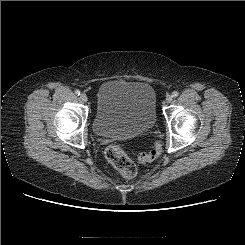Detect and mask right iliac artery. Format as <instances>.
Returning <instances> with one entry per match:
<instances>
[{"mask_svg":"<svg viewBox=\"0 0 245 245\" xmlns=\"http://www.w3.org/2000/svg\"><path fill=\"white\" fill-rule=\"evenodd\" d=\"M80 93H81V92H80L79 90H76V91H75V94L78 95V96L80 95Z\"/></svg>","mask_w":245,"mask_h":245,"instance_id":"82829eb1","label":"right iliac artery"}]
</instances>
